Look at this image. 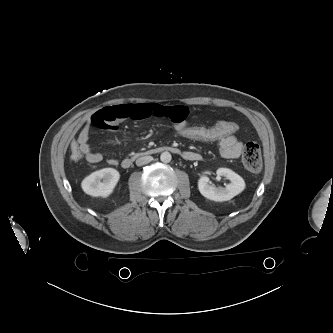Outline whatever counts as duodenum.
<instances>
[{"label":"duodenum","mask_w":333,"mask_h":333,"mask_svg":"<svg viewBox=\"0 0 333 333\" xmlns=\"http://www.w3.org/2000/svg\"><path fill=\"white\" fill-rule=\"evenodd\" d=\"M165 151L166 152H172V153H179V150L175 147H172V146H158V147L150 148V149H147L146 151L140 152L136 156L126 157L122 161L121 165H122L123 168H130L136 157L151 156V155H155V154L165 152ZM182 156L185 159H188V160H196V159L199 158L198 154L191 153V152H183Z\"/></svg>","instance_id":"obj_1"}]
</instances>
